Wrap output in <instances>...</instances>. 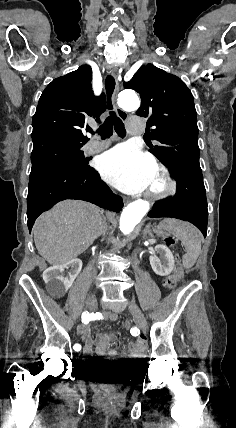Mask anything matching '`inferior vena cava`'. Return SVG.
Returning a JSON list of instances; mask_svg holds the SVG:
<instances>
[{"label": "inferior vena cava", "instance_id": "1", "mask_svg": "<svg viewBox=\"0 0 236 428\" xmlns=\"http://www.w3.org/2000/svg\"><path fill=\"white\" fill-rule=\"evenodd\" d=\"M95 267H98V264H95Z\"/></svg>", "mask_w": 236, "mask_h": 428}]
</instances>
